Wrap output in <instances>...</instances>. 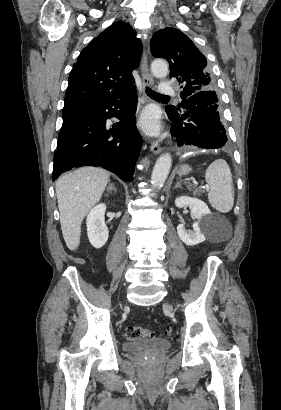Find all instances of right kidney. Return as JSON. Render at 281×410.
<instances>
[{
    "label": "right kidney",
    "instance_id": "obj_1",
    "mask_svg": "<svg viewBox=\"0 0 281 410\" xmlns=\"http://www.w3.org/2000/svg\"><path fill=\"white\" fill-rule=\"evenodd\" d=\"M106 205L101 203L95 206L87 215L86 226L88 239L91 245L99 249L108 240L109 231L105 223Z\"/></svg>",
    "mask_w": 281,
    "mask_h": 410
}]
</instances>
